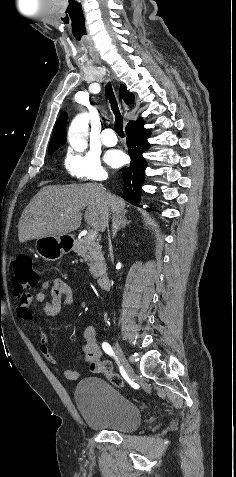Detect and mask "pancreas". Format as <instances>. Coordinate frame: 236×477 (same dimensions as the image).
<instances>
[{
	"label": "pancreas",
	"instance_id": "pancreas-1",
	"mask_svg": "<svg viewBox=\"0 0 236 477\" xmlns=\"http://www.w3.org/2000/svg\"><path fill=\"white\" fill-rule=\"evenodd\" d=\"M73 250L87 262L93 278L101 277L105 273L106 265L102 249L94 240L86 237L78 239L74 242Z\"/></svg>",
	"mask_w": 236,
	"mask_h": 477
}]
</instances>
